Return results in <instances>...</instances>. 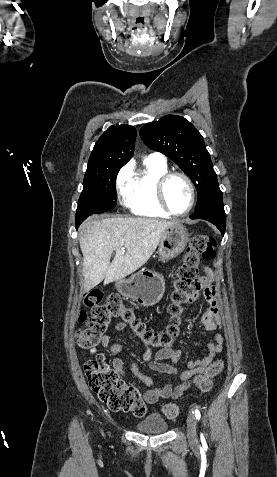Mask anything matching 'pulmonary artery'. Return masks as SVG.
Returning <instances> with one entry per match:
<instances>
[{
    "mask_svg": "<svg viewBox=\"0 0 277 477\" xmlns=\"http://www.w3.org/2000/svg\"><path fill=\"white\" fill-rule=\"evenodd\" d=\"M147 159L151 161L159 162V163H165V158L160 153H152L148 155Z\"/></svg>",
    "mask_w": 277,
    "mask_h": 477,
    "instance_id": "e3ab8cb5",
    "label": "pulmonary artery"
}]
</instances>
